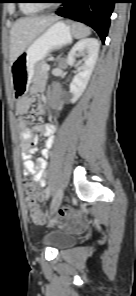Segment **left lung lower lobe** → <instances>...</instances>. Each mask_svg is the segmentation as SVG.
Returning a JSON list of instances; mask_svg holds the SVG:
<instances>
[{
    "label": "left lung lower lobe",
    "mask_w": 136,
    "mask_h": 296,
    "mask_svg": "<svg viewBox=\"0 0 136 296\" xmlns=\"http://www.w3.org/2000/svg\"><path fill=\"white\" fill-rule=\"evenodd\" d=\"M63 7L55 13L92 27L105 41L110 25V16L116 0H62Z\"/></svg>",
    "instance_id": "1"
}]
</instances>
